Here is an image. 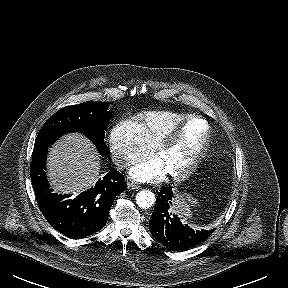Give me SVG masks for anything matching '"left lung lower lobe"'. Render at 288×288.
I'll use <instances>...</instances> for the list:
<instances>
[{"label": "left lung lower lobe", "mask_w": 288, "mask_h": 288, "mask_svg": "<svg viewBox=\"0 0 288 288\" xmlns=\"http://www.w3.org/2000/svg\"><path fill=\"white\" fill-rule=\"evenodd\" d=\"M171 187L161 189L149 221L150 232L154 238L171 250H185L207 239L213 230L194 231L183 225L177 215L171 213Z\"/></svg>", "instance_id": "1"}]
</instances>
